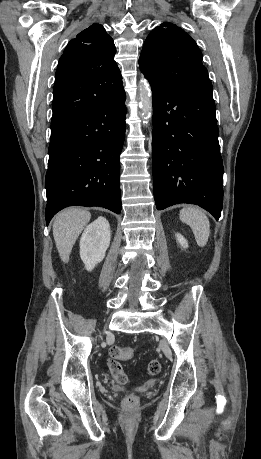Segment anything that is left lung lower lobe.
<instances>
[{
  "mask_svg": "<svg viewBox=\"0 0 261 459\" xmlns=\"http://www.w3.org/2000/svg\"><path fill=\"white\" fill-rule=\"evenodd\" d=\"M149 82L157 209L177 203L196 204L218 220L223 204V163L213 96Z\"/></svg>",
  "mask_w": 261,
  "mask_h": 459,
  "instance_id": "left-lung-lower-lobe-1",
  "label": "left lung lower lobe"
}]
</instances>
